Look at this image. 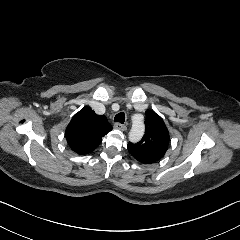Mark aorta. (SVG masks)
Returning a JSON list of instances; mask_svg holds the SVG:
<instances>
[{
	"instance_id": "1",
	"label": "aorta",
	"mask_w": 240,
	"mask_h": 240,
	"mask_svg": "<svg viewBox=\"0 0 240 240\" xmlns=\"http://www.w3.org/2000/svg\"><path fill=\"white\" fill-rule=\"evenodd\" d=\"M145 126L142 120L137 119V115L132 117V127L129 132V140L133 143H137L144 135Z\"/></svg>"
}]
</instances>
